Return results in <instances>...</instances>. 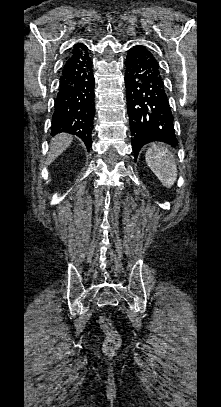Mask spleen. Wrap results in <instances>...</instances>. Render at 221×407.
Wrapping results in <instances>:
<instances>
[{
	"instance_id": "spleen-1",
	"label": "spleen",
	"mask_w": 221,
	"mask_h": 407,
	"mask_svg": "<svg viewBox=\"0 0 221 407\" xmlns=\"http://www.w3.org/2000/svg\"><path fill=\"white\" fill-rule=\"evenodd\" d=\"M145 159L148 167L157 176L161 183L170 188L177 179V165L172 153L162 144H151Z\"/></svg>"
}]
</instances>
